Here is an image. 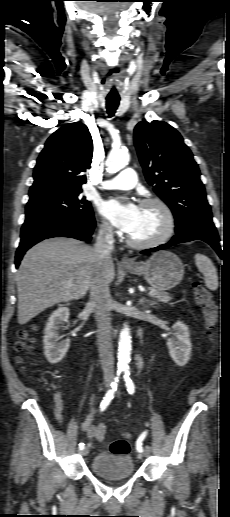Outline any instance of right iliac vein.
<instances>
[{
    "mask_svg": "<svg viewBox=\"0 0 230 517\" xmlns=\"http://www.w3.org/2000/svg\"><path fill=\"white\" fill-rule=\"evenodd\" d=\"M88 452H89L88 447H84V448L80 451V453H81V455H82V456H86V455L88 454Z\"/></svg>",
    "mask_w": 230,
    "mask_h": 517,
    "instance_id": "right-iliac-vein-1",
    "label": "right iliac vein"
}]
</instances>
